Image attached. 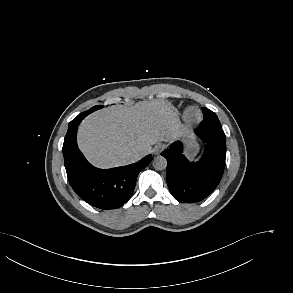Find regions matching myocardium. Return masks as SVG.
Listing matches in <instances>:
<instances>
[{
    "label": "myocardium",
    "mask_w": 293,
    "mask_h": 293,
    "mask_svg": "<svg viewBox=\"0 0 293 293\" xmlns=\"http://www.w3.org/2000/svg\"><path fill=\"white\" fill-rule=\"evenodd\" d=\"M183 119L188 125L196 124L201 119V112L196 107H189L185 110Z\"/></svg>",
    "instance_id": "1"
}]
</instances>
